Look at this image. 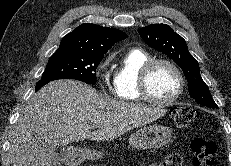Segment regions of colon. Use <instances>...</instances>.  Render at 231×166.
<instances>
[{"label": "colon", "instance_id": "5ec220e1", "mask_svg": "<svg viewBox=\"0 0 231 166\" xmlns=\"http://www.w3.org/2000/svg\"><path fill=\"white\" fill-rule=\"evenodd\" d=\"M171 117L178 128L188 127L197 117L198 112L191 107H176L170 112ZM193 153V166H214L216 144L205 137H195L191 141ZM183 157L180 154H170L162 163H154L150 166H182ZM57 166V165H56Z\"/></svg>", "mask_w": 231, "mask_h": 166}]
</instances>
